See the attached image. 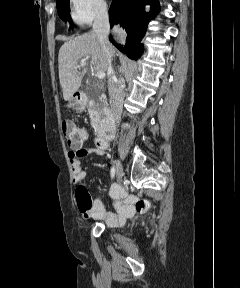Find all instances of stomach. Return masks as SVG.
Returning a JSON list of instances; mask_svg holds the SVG:
<instances>
[{"label": "stomach", "instance_id": "stomach-1", "mask_svg": "<svg viewBox=\"0 0 240 288\" xmlns=\"http://www.w3.org/2000/svg\"><path fill=\"white\" fill-rule=\"evenodd\" d=\"M80 106H81V104L75 99L70 101V103L68 104V107L72 108V109H75V108L80 107Z\"/></svg>", "mask_w": 240, "mask_h": 288}]
</instances>
